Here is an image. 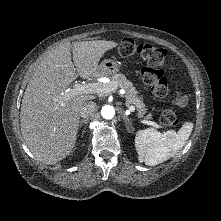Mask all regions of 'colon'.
I'll return each instance as SVG.
<instances>
[{
  "label": "colon",
  "mask_w": 221,
  "mask_h": 221,
  "mask_svg": "<svg viewBox=\"0 0 221 221\" xmlns=\"http://www.w3.org/2000/svg\"><path fill=\"white\" fill-rule=\"evenodd\" d=\"M118 51L122 56L138 55L145 62L146 67L142 69V79L149 85L153 93L158 97H165L168 93L167 79L164 76L163 66L165 64L166 52L150 44H137L132 39L121 41ZM188 97L181 89H176L171 96V103L176 107H184ZM161 123L167 127L175 126L178 118L171 109L165 110L161 115Z\"/></svg>",
  "instance_id": "5ec220e1"
}]
</instances>
